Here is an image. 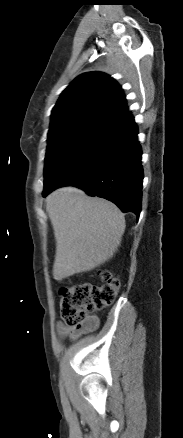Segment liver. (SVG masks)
<instances>
[{
    "instance_id": "1",
    "label": "liver",
    "mask_w": 183,
    "mask_h": 438,
    "mask_svg": "<svg viewBox=\"0 0 183 438\" xmlns=\"http://www.w3.org/2000/svg\"><path fill=\"white\" fill-rule=\"evenodd\" d=\"M56 239L55 280L91 271L116 253L125 231L120 210L102 198L64 187L46 198Z\"/></svg>"
}]
</instances>
